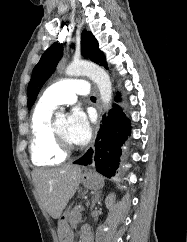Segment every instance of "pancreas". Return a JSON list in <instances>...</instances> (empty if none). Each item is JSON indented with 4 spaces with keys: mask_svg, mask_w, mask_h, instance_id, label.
I'll return each mask as SVG.
<instances>
[{
    "mask_svg": "<svg viewBox=\"0 0 187 242\" xmlns=\"http://www.w3.org/2000/svg\"><path fill=\"white\" fill-rule=\"evenodd\" d=\"M81 211L78 208H74L71 212L70 224L75 227L81 219Z\"/></svg>",
    "mask_w": 187,
    "mask_h": 242,
    "instance_id": "1",
    "label": "pancreas"
}]
</instances>
